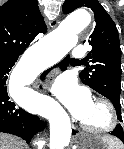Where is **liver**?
I'll use <instances>...</instances> for the list:
<instances>
[{
  "label": "liver",
  "instance_id": "1",
  "mask_svg": "<svg viewBox=\"0 0 124 149\" xmlns=\"http://www.w3.org/2000/svg\"><path fill=\"white\" fill-rule=\"evenodd\" d=\"M0 149H23V143L16 137L0 134Z\"/></svg>",
  "mask_w": 124,
  "mask_h": 149
}]
</instances>
